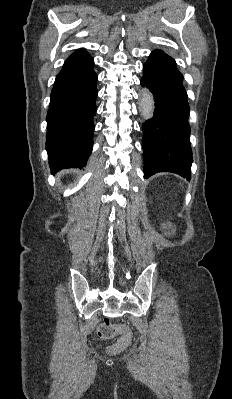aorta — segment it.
Returning a JSON list of instances; mask_svg holds the SVG:
<instances>
[{"label": "aorta", "instance_id": "obj_1", "mask_svg": "<svg viewBox=\"0 0 232 399\" xmlns=\"http://www.w3.org/2000/svg\"><path fill=\"white\" fill-rule=\"evenodd\" d=\"M141 114L145 119L153 117L155 106L154 98L149 90L142 89L140 96Z\"/></svg>", "mask_w": 232, "mask_h": 399}]
</instances>
